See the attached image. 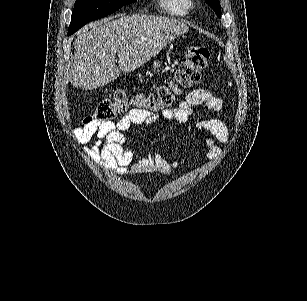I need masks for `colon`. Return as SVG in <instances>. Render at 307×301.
<instances>
[{"instance_id":"colon-1","label":"colon","mask_w":307,"mask_h":301,"mask_svg":"<svg viewBox=\"0 0 307 301\" xmlns=\"http://www.w3.org/2000/svg\"><path fill=\"white\" fill-rule=\"evenodd\" d=\"M209 58L210 52L207 48L202 46L190 47L186 59L176 71L173 84L161 87L156 96L138 93L130 97L125 92L118 91L112 100L100 101L93 113L84 118L83 123L110 122L118 115L131 109L153 112L169 107L181 89L191 87L200 80L201 73L207 66Z\"/></svg>"}]
</instances>
